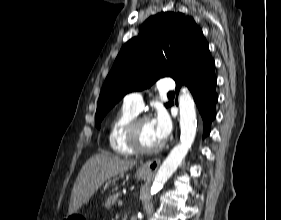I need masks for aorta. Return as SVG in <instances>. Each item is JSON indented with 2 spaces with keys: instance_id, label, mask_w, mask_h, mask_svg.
<instances>
[{
  "instance_id": "obj_1",
  "label": "aorta",
  "mask_w": 281,
  "mask_h": 220,
  "mask_svg": "<svg viewBox=\"0 0 281 220\" xmlns=\"http://www.w3.org/2000/svg\"><path fill=\"white\" fill-rule=\"evenodd\" d=\"M181 143L176 145L160 166L152 188L151 195L157 193L178 168L192 146L197 128L195 104L192 95L182 89L179 96Z\"/></svg>"
}]
</instances>
